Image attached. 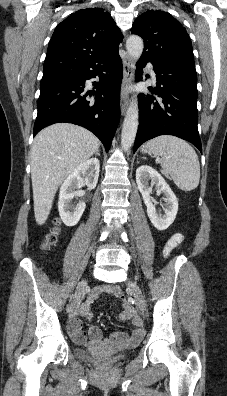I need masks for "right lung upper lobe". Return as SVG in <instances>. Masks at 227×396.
I'll use <instances>...</instances> for the list:
<instances>
[{"label":"right lung upper lobe","instance_id":"obj_1","mask_svg":"<svg viewBox=\"0 0 227 396\" xmlns=\"http://www.w3.org/2000/svg\"><path fill=\"white\" fill-rule=\"evenodd\" d=\"M122 34L111 15L102 8L72 13L55 29L43 72L92 62L118 51Z\"/></svg>","mask_w":227,"mask_h":396}]
</instances>
